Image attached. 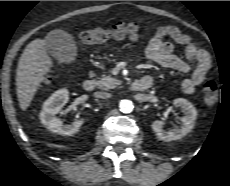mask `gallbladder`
<instances>
[{
	"instance_id": "gallbladder-1",
	"label": "gallbladder",
	"mask_w": 230,
	"mask_h": 186,
	"mask_svg": "<svg viewBox=\"0 0 230 186\" xmlns=\"http://www.w3.org/2000/svg\"><path fill=\"white\" fill-rule=\"evenodd\" d=\"M46 47L51 56L65 63L74 61L77 52L72 36L63 30L51 31L46 37Z\"/></svg>"
}]
</instances>
